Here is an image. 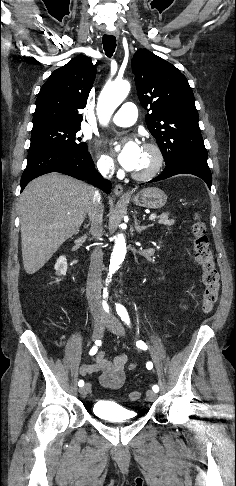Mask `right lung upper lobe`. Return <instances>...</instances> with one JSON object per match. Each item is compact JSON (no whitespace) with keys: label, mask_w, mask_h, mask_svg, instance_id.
<instances>
[{"label":"right lung upper lobe","mask_w":236,"mask_h":486,"mask_svg":"<svg viewBox=\"0 0 236 486\" xmlns=\"http://www.w3.org/2000/svg\"><path fill=\"white\" fill-rule=\"evenodd\" d=\"M96 74L89 57L79 55L55 70L36 99L33 127L43 124L80 125L78 110L86 106Z\"/></svg>","instance_id":"cb5924a9"}]
</instances>
